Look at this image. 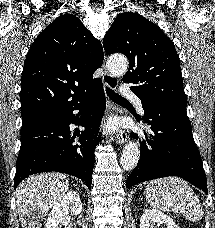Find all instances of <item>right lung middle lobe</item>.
<instances>
[{"label":"right lung middle lobe","instance_id":"dd1d6c3e","mask_svg":"<svg viewBox=\"0 0 215 228\" xmlns=\"http://www.w3.org/2000/svg\"><path fill=\"white\" fill-rule=\"evenodd\" d=\"M50 118H52V117H48V118H44V119H40V120L28 122V123H23L22 124V128H21V133L26 132V131L32 129L36 125L41 124L44 121L49 120Z\"/></svg>","mask_w":215,"mask_h":228}]
</instances>
